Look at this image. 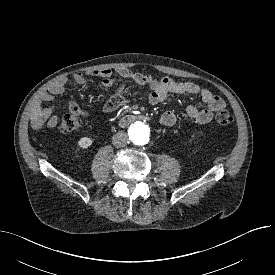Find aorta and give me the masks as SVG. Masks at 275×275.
<instances>
[{
	"mask_svg": "<svg viewBox=\"0 0 275 275\" xmlns=\"http://www.w3.org/2000/svg\"><path fill=\"white\" fill-rule=\"evenodd\" d=\"M150 128L146 123L136 122L129 128L131 140L137 145H143L148 142Z\"/></svg>",
	"mask_w": 275,
	"mask_h": 275,
	"instance_id": "762f6f07",
	"label": "aorta"
}]
</instances>
